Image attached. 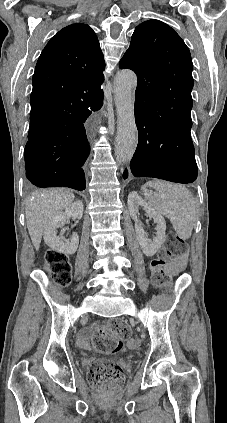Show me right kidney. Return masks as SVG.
I'll use <instances>...</instances> for the list:
<instances>
[{
	"mask_svg": "<svg viewBox=\"0 0 227 423\" xmlns=\"http://www.w3.org/2000/svg\"><path fill=\"white\" fill-rule=\"evenodd\" d=\"M76 217V219H81L83 215V204L82 202H74L69 208H66L65 211H58L50 221H48L44 229V241L55 249L59 253H65V255H70V253H75L77 251L79 243V235L76 231H73L70 241H64L63 237L57 235V227H62L65 223L66 217Z\"/></svg>",
	"mask_w": 227,
	"mask_h": 423,
	"instance_id": "1",
	"label": "right kidney"
}]
</instances>
